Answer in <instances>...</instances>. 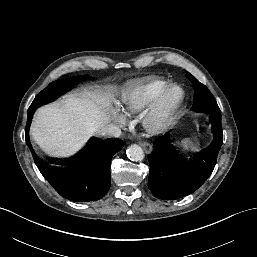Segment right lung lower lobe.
Returning a JSON list of instances; mask_svg holds the SVG:
<instances>
[{
    "instance_id": "1",
    "label": "right lung lower lobe",
    "mask_w": 257,
    "mask_h": 257,
    "mask_svg": "<svg viewBox=\"0 0 257 257\" xmlns=\"http://www.w3.org/2000/svg\"><path fill=\"white\" fill-rule=\"evenodd\" d=\"M33 113H28L26 142L44 178L61 196L71 201H96L105 196L111 183V159L121 150L124 142L120 139L100 140L92 137L78 154L76 161L63 164L50 162L37 156L29 143V126Z\"/></svg>"
}]
</instances>
